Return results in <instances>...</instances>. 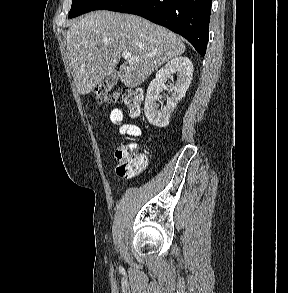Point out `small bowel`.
<instances>
[{
    "label": "small bowel",
    "instance_id": "small-bowel-1",
    "mask_svg": "<svg viewBox=\"0 0 288 293\" xmlns=\"http://www.w3.org/2000/svg\"><path fill=\"white\" fill-rule=\"evenodd\" d=\"M110 118L112 122L120 124L118 130L119 134L131 137H139L142 135V131L137 125L124 123L123 112L119 108H114L111 111ZM131 147L133 150L137 149V146L134 144H132Z\"/></svg>",
    "mask_w": 288,
    "mask_h": 293
}]
</instances>
